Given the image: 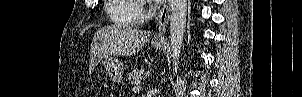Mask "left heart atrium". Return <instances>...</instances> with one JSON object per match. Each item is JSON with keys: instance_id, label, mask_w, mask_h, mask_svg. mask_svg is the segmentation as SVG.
Here are the masks:
<instances>
[{"instance_id": "left-heart-atrium-1", "label": "left heart atrium", "mask_w": 302, "mask_h": 97, "mask_svg": "<svg viewBox=\"0 0 302 97\" xmlns=\"http://www.w3.org/2000/svg\"><path fill=\"white\" fill-rule=\"evenodd\" d=\"M150 2H157L156 0H150Z\"/></svg>"}]
</instances>
